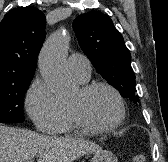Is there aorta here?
Here are the masks:
<instances>
[{
    "mask_svg": "<svg viewBox=\"0 0 168 162\" xmlns=\"http://www.w3.org/2000/svg\"><path fill=\"white\" fill-rule=\"evenodd\" d=\"M69 41L68 33L60 28L44 43L39 55L41 75L62 101L73 98L77 90L65 61Z\"/></svg>",
    "mask_w": 168,
    "mask_h": 162,
    "instance_id": "1",
    "label": "aorta"
}]
</instances>
